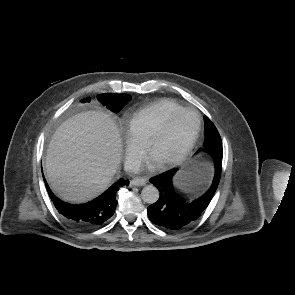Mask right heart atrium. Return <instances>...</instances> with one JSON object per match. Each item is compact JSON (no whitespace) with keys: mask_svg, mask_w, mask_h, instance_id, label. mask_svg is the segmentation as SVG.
<instances>
[{"mask_svg":"<svg viewBox=\"0 0 295 295\" xmlns=\"http://www.w3.org/2000/svg\"><path fill=\"white\" fill-rule=\"evenodd\" d=\"M145 146L130 133L125 134V162L130 170H137L143 160Z\"/></svg>","mask_w":295,"mask_h":295,"instance_id":"d8ad5b80","label":"right heart atrium"}]
</instances>
